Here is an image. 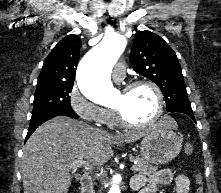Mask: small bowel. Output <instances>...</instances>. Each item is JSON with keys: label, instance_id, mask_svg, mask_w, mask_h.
I'll return each mask as SVG.
<instances>
[{"label": "small bowel", "instance_id": "obj_1", "mask_svg": "<svg viewBox=\"0 0 221 193\" xmlns=\"http://www.w3.org/2000/svg\"><path fill=\"white\" fill-rule=\"evenodd\" d=\"M175 182L176 193H189L190 180L185 174L173 175L170 169H161L151 175L135 176L132 179V188L138 193H156L158 185H167Z\"/></svg>", "mask_w": 221, "mask_h": 193}]
</instances>
